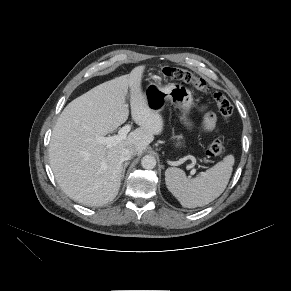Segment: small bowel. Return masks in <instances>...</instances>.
<instances>
[{
  "label": "small bowel",
  "instance_id": "1",
  "mask_svg": "<svg viewBox=\"0 0 291 291\" xmlns=\"http://www.w3.org/2000/svg\"><path fill=\"white\" fill-rule=\"evenodd\" d=\"M204 129L206 131H214L216 129V118L212 113L206 115Z\"/></svg>",
  "mask_w": 291,
  "mask_h": 291
}]
</instances>
